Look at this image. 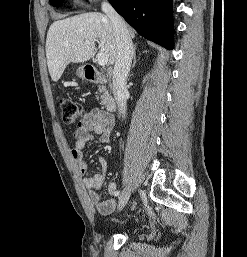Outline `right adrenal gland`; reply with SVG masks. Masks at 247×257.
<instances>
[{"instance_id": "2a0ac1e0", "label": "right adrenal gland", "mask_w": 247, "mask_h": 257, "mask_svg": "<svg viewBox=\"0 0 247 257\" xmlns=\"http://www.w3.org/2000/svg\"><path fill=\"white\" fill-rule=\"evenodd\" d=\"M135 51H136V44L134 45V49H133V63H132V68H133V67L135 66V64H136Z\"/></svg>"}]
</instances>
